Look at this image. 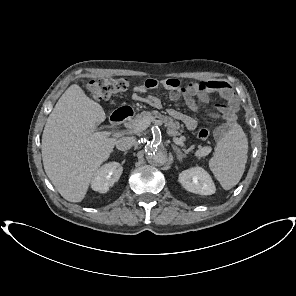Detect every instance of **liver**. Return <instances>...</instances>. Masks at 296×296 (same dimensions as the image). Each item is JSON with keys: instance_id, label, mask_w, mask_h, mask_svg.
I'll return each instance as SVG.
<instances>
[{"instance_id": "6515ba94", "label": "liver", "mask_w": 296, "mask_h": 296, "mask_svg": "<svg viewBox=\"0 0 296 296\" xmlns=\"http://www.w3.org/2000/svg\"><path fill=\"white\" fill-rule=\"evenodd\" d=\"M106 119L100 104L71 85L47 118L42 135V159L45 172L61 196L81 202L89 184L113 151L116 139L93 136Z\"/></svg>"}]
</instances>
